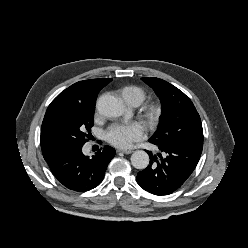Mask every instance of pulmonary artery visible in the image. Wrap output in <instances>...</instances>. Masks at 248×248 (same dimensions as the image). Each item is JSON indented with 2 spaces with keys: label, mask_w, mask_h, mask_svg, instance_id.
Returning <instances> with one entry per match:
<instances>
[{
  "label": "pulmonary artery",
  "mask_w": 248,
  "mask_h": 248,
  "mask_svg": "<svg viewBox=\"0 0 248 248\" xmlns=\"http://www.w3.org/2000/svg\"><path fill=\"white\" fill-rule=\"evenodd\" d=\"M132 106H138L137 104H134V105H132Z\"/></svg>",
  "instance_id": "e3ab8cb5"
}]
</instances>
